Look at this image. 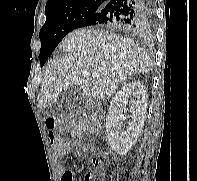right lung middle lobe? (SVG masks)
Here are the masks:
<instances>
[{
  "mask_svg": "<svg viewBox=\"0 0 197 181\" xmlns=\"http://www.w3.org/2000/svg\"><path fill=\"white\" fill-rule=\"evenodd\" d=\"M102 7L97 4L83 5L46 16V22L39 34L41 66L69 32L80 28L87 18L99 12Z\"/></svg>",
  "mask_w": 197,
  "mask_h": 181,
  "instance_id": "dd1d6c3e",
  "label": "right lung middle lobe"
}]
</instances>
